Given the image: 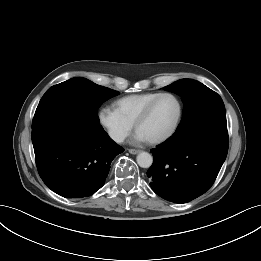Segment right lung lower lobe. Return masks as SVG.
Segmentation results:
<instances>
[{"label": "right lung lower lobe", "mask_w": 261, "mask_h": 261, "mask_svg": "<svg viewBox=\"0 0 261 261\" xmlns=\"http://www.w3.org/2000/svg\"><path fill=\"white\" fill-rule=\"evenodd\" d=\"M36 165L43 182L62 197L100 189L112 160L124 151L97 123L67 116L32 126Z\"/></svg>", "instance_id": "obj_1"}]
</instances>
